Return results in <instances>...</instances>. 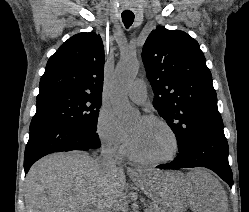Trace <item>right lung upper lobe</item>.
I'll use <instances>...</instances> for the list:
<instances>
[{
  "instance_id": "cb5924a9",
  "label": "right lung upper lobe",
  "mask_w": 249,
  "mask_h": 212,
  "mask_svg": "<svg viewBox=\"0 0 249 212\" xmlns=\"http://www.w3.org/2000/svg\"><path fill=\"white\" fill-rule=\"evenodd\" d=\"M104 63L99 35L93 32L74 35L48 60L39 95L67 92L101 97Z\"/></svg>"
}]
</instances>
